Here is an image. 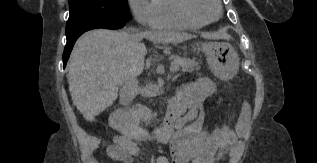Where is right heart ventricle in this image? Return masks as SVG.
Instances as JSON below:
<instances>
[{
    "label": "right heart ventricle",
    "mask_w": 317,
    "mask_h": 163,
    "mask_svg": "<svg viewBox=\"0 0 317 163\" xmlns=\"http://www.w3.org/2000/svg\"><path fill=\"white\" fill-rule=\"evenodd\" d=\"M178 0H153L155 6L154 29L193 30L202 24L188 21L181 16L177 7Z\"/></svg>",
    "instance_id": "1"
}]
</instances>
